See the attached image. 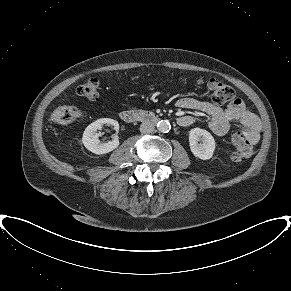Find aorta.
<instances>
[{
    "label": "aorta",
    "mask_w": 291,
    "mask_h": 291,
    "mask_svg": "<svg viewBox=\"0 0 291 291\" xmlns=\"http://www.w3.org/2000/svg\"><path fill=\"white\" fill-rule=\"evenodd\" d=\"M157 129L159 132H162V133H167L170 131L171 129V125L168 121L166 120H161L157 123Z\"/></svg>",
    "instance_id": "1"
}]
</instances>
